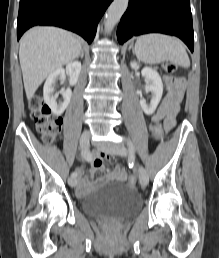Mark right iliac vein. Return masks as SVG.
<instances>
[{"label":"right iliac vein","instance_id":"obj_1","mask_svg":"<svg viewBox=\"0 0 219 258\" xmlns=\"http://www.w3.org/2000/svg\"><path fill=\"white\" fill-rule=\"evenodd\" d=\"M89 141H90V133L88 131H84L81 136H80V140H79V143H80V147L84 150H87L88 147H89ZM68 183L71 187H74L76 186L77 184V180H76V177H69L68 179Z\"/></svg>","mask_w":219,"mask_h":258}]
</instances>
